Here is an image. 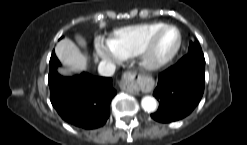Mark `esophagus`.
<instances>
[{
	"mask_svg": "<svg viewBox=\"0 0 247 145\" xmlns=\"http://www.w3.org/2000/svg\"><path fill=\"white\" fill-rule=\"evenodd\" d=\"M139 77L131 74L130 72H126L123 75V79L120 82V88L122 91L128 92L130 94L138 95L139 87H138Z\"/></svg>",
	"mask_w": 247,
	"mask_h": 145,
	"instance_id": "1",
	"label": "esophagus"
}]
</instances>
